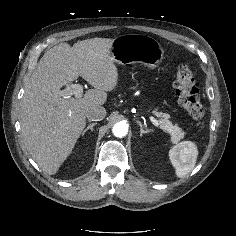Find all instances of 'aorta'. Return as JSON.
Segmentation results:
<instances>
[{"label": "aorta", "mask_w": 236, "mask_h": 236, "mask_svg": "<svg viewBox=\"0 0 236 236\" xmlns=\"http://www.w3.org/2000/svg\"><path fill=\"white\" fill-rule=\"evenodd\" d=\"M112 131L116 137H124L128 133V126L124 122H118L113 126Z\"/></svg>", "instance_id": "aorta-1"}]
</instances>
